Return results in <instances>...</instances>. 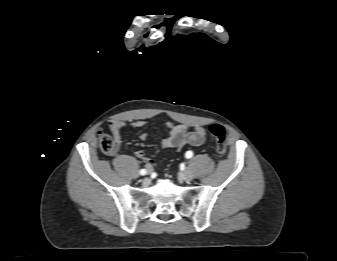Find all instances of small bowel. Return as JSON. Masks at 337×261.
I'll return each mask as SVG.
<instances>
[{
	"mask_svg": "<svg viewBox=\"0 0 337 261\" xmlns=\"http://www.w3.org/2000/svg\"><path fill=\"white\" fill-rule=\"evenodd\" d=\"M110 131L112 132L116 144V148L122 143V129L129 126L132 128H142L146 125L143 120H136L129 123L120 120H110L107 123ZM168 128V134L160 140V145L163 148H181L184 145L202 146L206 139L207 133L204 127L195 126L191 127L184 124H173L168 122L166 124ZM142 141L149 140V135L143 133L140 135ZM137 158L145 161L147 169L152 170L156 165L155 161L148 158L144 151L138 150L135 152Z\"/></svg>",
	"mask_w": 337,
	"mask_h": 261,
	"instance_id": "obj_1",
	"label": "small bowel"
}]
</instances>
